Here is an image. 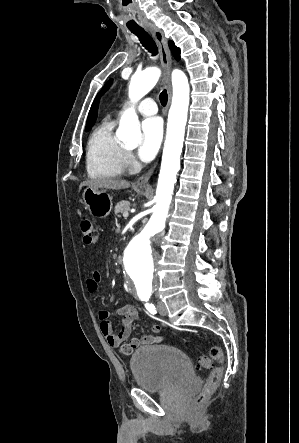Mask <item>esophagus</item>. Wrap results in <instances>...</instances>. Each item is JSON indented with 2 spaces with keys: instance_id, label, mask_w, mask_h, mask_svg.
Returning a JSON list of instances; mask_svg holds the SVG:
<instances>
[{
  "instance_id": "34e87169",
  "label": "esophagus",
  "mask_w": 299,
  "mask_h": 443,
  "mask_svg": "<svg viewBox=\"0 0 299 443\" xmlns=\"http://www.w3.org/2000/svg\"><path fill=\"white\" fill-rule=\"evenodd\" d=\"M149 31L155 37L156 42L159 47V51H160V59H161V63H162L163 69H164L163 84L167 88V91H168V105H167V108H168L170 105L171 96H172V89H171V82H170V72H171V66H172L171 52L168 47L167 40H166L163 32L160 29H158L156 27H151V28H149ZM154 169H155V166L152 167L147 173L140 176L137 179L136 184L138 186H149V179L152 176Z\"/></svg>"
}]
</instances>
